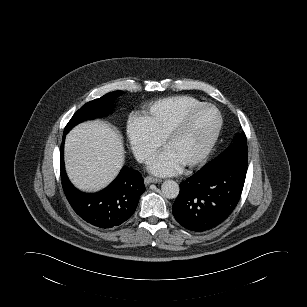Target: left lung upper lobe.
Here are the masks:
<instances>
[{"label":"left lung upper lobe","mask_w":307,"mask_h":307,"mask_svg":"<svg viewBox=\"0 0 307 307\" xmlns=\"http://www.w3.org/2000/svg\"><path fill=\"white\" fill-rule=\"evenodd\" d=\"M247 139L244 131L238 133L233 144L215 159L203 166L208 168L217 165L247 166Z\"/></svg>","instance_id":"1"}]
</instances>
